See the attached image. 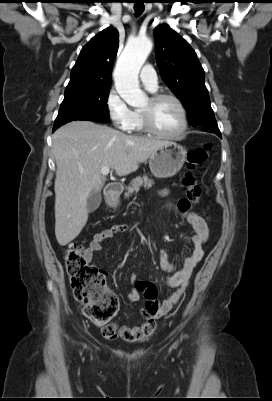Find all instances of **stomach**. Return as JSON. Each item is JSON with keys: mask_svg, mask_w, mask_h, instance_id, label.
Here are the masks:
<instances>
[{"mask_svg": "<svg viewBox=\"0 0 272 401\" xmlns=\"http://www.w3.org/2000/svg\"><path fill=\"white\" fill-rule=\"evenodd\" d=\"M186 150L175 142L157 149L149 159V167L156 178H169L177 174L182 168ZM107 203L112 207H117L119 200L109 199Z\"/></svg>", "mask_w": 272, "mask_h": 401, "instance_id": "obj_1", "label": "stomach"}]
</instances>
